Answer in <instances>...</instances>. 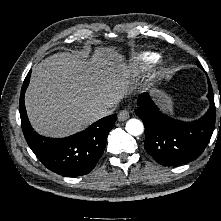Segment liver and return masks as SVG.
<instances>
[{
	"label": "liver",
	"mask_w": 221,
	"mask_h": 221,
	"mask_svg": "<svg viewBox=\"0 0 221 221\" xmlns=\"http://www.w3.org/2000/svg\"><path fill=\"white\" fill-rule=\"evenodd\" d=\"M123 56L114 48H100L91 63L60 52L33 68L25 105L34 129L63 137L96 121L93 111L116 106L131 90Z\"/></svg>",
	"instance_id": "1"
}]
</instances>
